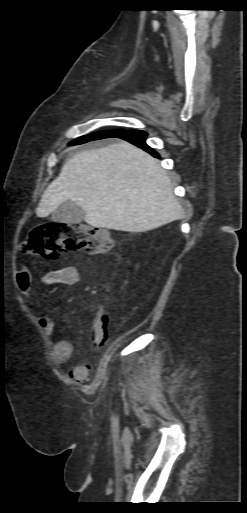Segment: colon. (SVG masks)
Wrapping results in <instances>:
<instances>
[{
    "label": "colon",
    "instance_id": "colon-1",
    "mask_svg": "<svg viewBox=\"0 0 247 513\" xmlns=\"http://www.w3.org/2000/svg\"><path fill=\"white\" fill-rule=\"evenodd\" d=\"M112 237L99 228L84 224L45 222L34 228L25 243V249L32 253L54 259L69 249L83 250L90 254L111 251ZM109 315L99 311L92 324L91 343L103 346L108 339Z\"/></svg>",
    "mask_w": 247,
    "mask_h": 513
}]
</instances>
